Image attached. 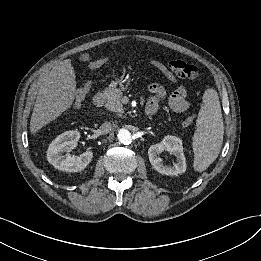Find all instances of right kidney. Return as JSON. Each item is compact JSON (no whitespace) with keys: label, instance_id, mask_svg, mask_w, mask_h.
Segmentation results:
<instances>
[{"label":"right kidney","instance_id":"ca27d5eb","mask_svg":"<svg viewBox=\"0 0 261 261\" xmlns=\"http://www.w3.org/2000/svg\"><path fill=\"white\" fill-rule=\"evenodd\" d=\"M80 138L78 131H67L57 136L49 145L47 150V160L56 169L66 172H78L86 168L90 163L93 153L85 151L80 156H70ZM66 152V155L62 153Z\"/></svg>","mask_w":261,"mask_h":261}]
</instances>
